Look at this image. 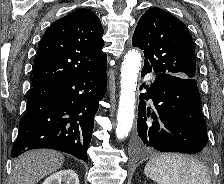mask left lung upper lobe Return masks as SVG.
<instances>
[{"instance_id": "1", "label": "left lung upper lobe", "mask_w": 224, "mask_h": 184, "mask_svg": "<svg viewBox=\"0 0 224 184\" xmlns=\"http://www.w3.org/2000/svg\"><path fill=\"white\" fill-rule=\"evenodd\" d=\"M132 44L144 50V67L181 78L196 77L195 48L187 27L160 9H148L140 18Z\"/></svg>"}]
</instances>
